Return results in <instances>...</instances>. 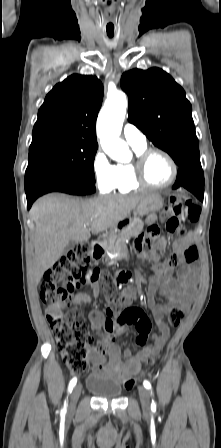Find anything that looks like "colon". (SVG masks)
<instances>
[{
	"mask_svg": "<svg viewBox=\"0 0 221 448\" xmlns=\"http://www.w3.org/2000/svg\"><path fill=\"white\" fill-rule=\"evenodd\" d=\"M169 214L166 228L169 232L183 234L185 225L196 222L199 216V208L185 195H172L169 199ZM180 260L186 264H193L198 258L195 246H188L179 255ZM99 271L91 265L90 247L79 244L64 257L56 266L48 270L41 283V300L48 307L56 308L50 312L48 321L56 335L58 349L67 366L76 373L86 374L89 370L87 361V347L92 342L87 325L79 320L76 310L70 311L65 317L62 310L71 302L74 292L87 285L96 282ZM106 296L109 302L120 307L115 288L111 281H106ZM126 322L135 326L137 335L135 342L139 347H144L152 330V323L147 313L135 306L126 308L123 312ZM183 312L175 308L170 315V323L179 325ZM108 331L113 330V322L106 324ZM153 363L151 358L146 368ZM143 371H135L133 376L123 381L125 389H132Z\"/></svg>",
	"mask_w": 221,
	"mask_h": 448,
	"instance_id": "obj_1",
	"label": "colon"
}]
</instances>
